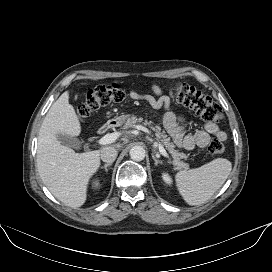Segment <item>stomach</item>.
Masks as SVG:
<instances>
[{"label":"stomach","instance_id":"obj_1","mask_svg":"<svg viewBox=\"0 0 272 272\" xmlns=\"http://www.w3.org/2000/svg\"><path fill=\"white\" fill-rule=\"evenodd\" d=\"M128 118H129V115H122L111 120V122H113L114 126H120L124 124Z\"/></svg>","mask_w":272,"mask_h":272}]
</instances>
